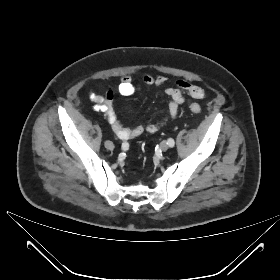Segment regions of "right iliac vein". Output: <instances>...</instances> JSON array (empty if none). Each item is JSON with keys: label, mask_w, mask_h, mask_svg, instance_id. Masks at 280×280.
I'll use <instances>...</instances> for the list:
<instances>
[{"label": "right iliac vein", "mask_w": 280, "mask_h": 280, "mask_svg": "<svg viewBox=\"0 0 280 280\" xmlns=\"http://www.w3.org/2000/svg\"><path fill=\"white\" fill-rule=\"evenodd\" d=\"M104 146L108 149V150H113L114 149V145L111 141H105L104 142Z\"/></svg>", "instance_id": "obj_1"}]
</instances>
